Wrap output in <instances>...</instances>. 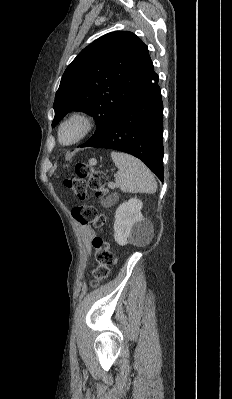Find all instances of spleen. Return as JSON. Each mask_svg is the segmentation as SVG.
I'll return each instance as SVG.
<instances>
[{"mask_svg": "<svg viewBox=\"0 0 232 399\" xmlns=\"http://www.w3.org/2000/svg\"><path fill=\"white\" fill-rule=\"evenodd\" d=\"M111 158L118 168L116 188L129 194H155L157 182L143 162L120 152H112Z\"/></svg>", "mask_w": 232, "mask_h": 399, "instance_id": "obj_1", "label": "spleen"}]
</instances>
